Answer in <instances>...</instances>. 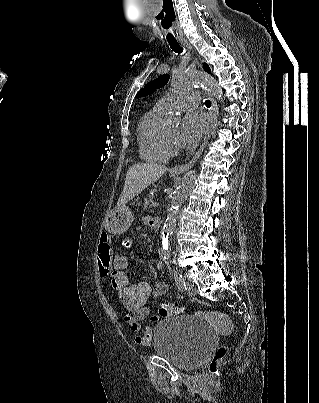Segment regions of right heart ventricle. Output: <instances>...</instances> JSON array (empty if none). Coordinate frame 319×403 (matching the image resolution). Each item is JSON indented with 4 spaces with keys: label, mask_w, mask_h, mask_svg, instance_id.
Here are the masks:
<instances>
[{
    "label": "right heart ventricle",
    "mask_w": 319,
    "mask_h": 403,
    "mask_svg": "<svg viewBox=\"0 0 319 403\" xmlns=\"http://www.w3.org/2000/svg\"><path fill=\"white\" fill-rule=\"evenodd\" d=\"M167 110L155 105L144 113L138 124L139 153L143 160L152 163L165 162L169 154L163 141L162 120Z\"/></svg>",
    "instance_id": "right-heart-ventricle-1"
}]
</instances>
